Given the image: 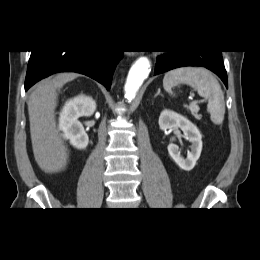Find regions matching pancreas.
<instances>
[{"mask_svg": "<svg viewBox=\"0 0 260 260\" xmlns=\"http://www.w3.org/2000/svg\"><path fill=\"white\" fill-rule=\"evenodd\" d=\"M187 109L191 112V114L197 119L200 120L201 119V115L198 114L199 112V107L196 104H190L189 106H187Z\"/></svg>", "mask_w": 260, "mask_h": 260, "instance_id": "1", "label": "pancreas"}]
</instances>
